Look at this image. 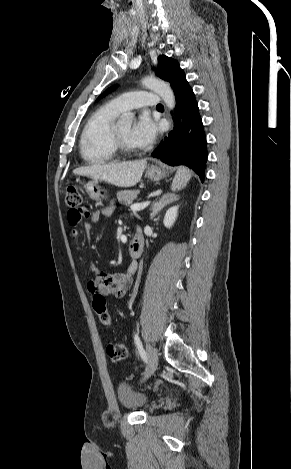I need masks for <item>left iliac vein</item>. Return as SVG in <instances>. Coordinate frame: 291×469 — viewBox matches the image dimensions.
I'll list each match as a JSON object with an SVG mask.
<instances>
[{"label": "left iliac vein", "instance_id": "4c4485c4", "mask_svg": "<svg viewBox=\"0 0 291 469\" xmlns=\"http://www.w3.org/2000/svg\"><path fill=\"white\" fill-rule=\"evenodd\" d=\"M148 352V367L147 372L145 373L144 380L149 378L157 369L158 366V355L156 351L150 346L147 345Z\"/></svg>", "mask_w": 291, "mask_h": 469}]
</instances>
